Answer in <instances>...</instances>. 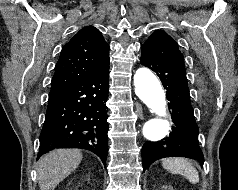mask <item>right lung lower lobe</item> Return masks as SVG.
Wrapping results in <instances>:
<instances>
[{
    "label": "right lung lower lobe",
    "mask_w": 238,
    "mask_h": 190,
    "mask_svg": "<svg viewBox=\"0 0 238 190\" xmlns=\"http://www.w3.org/2000/svg\"><path fill=\"white\" fill-rule=\"evenodd\" d=\"M109 64L77 83L49 95L37 159L55 148L94 152L106 166Z\"/></svg>",
    "instance_id": "98d812e1"
}]
</instances>
